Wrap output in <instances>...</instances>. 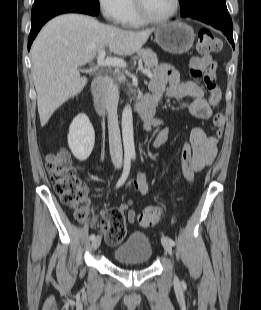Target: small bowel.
Returning <instances> with one entry per match:
<instances>
[{
    "label": "small bowel",
    "mask_w": 261,
    "mask_h": 310,
    "mask_svg": "<svg viewBox=\"0 0 261 310\" xmlns=\"http://www.w3.org/2000/svg\"><path fill=\"white\" fill-rule=\"evenodd\" d=\"M151 89L157 99L170 97L189 100L187 104L188 111L196 118L207 119L211 114V107L204 97L201 86L195 82L181 79L176 70L170 65L162 64L156 68L151 82ZM153 128L158 129L153 146L159 147L166 140L168 131L162 122L158 120H151L146 127L148 130ZM189 141L192 148V170L193 172L201 171L210 165L216 157L218 139L207 136L202 128L196 127L192 129ZM135 184L142 193L149 192V184L143 173L138 174ZM118 211L125 212L130 223H134L137 219L136 213L130 208L129 203H122Z\"/></svg>",
    "instance_id": "obj_1"
}]
</instances>
